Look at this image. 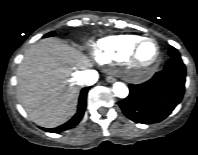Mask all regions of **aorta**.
I'll return each mask as SVG.
<instances>
[{
    "label": "aorta",
    "instance_id": "762f6f07",
    "mask_svg": "<svg viewBox=\"0 0 198 155\" xmlns=\"http://www.w3.org/2000/svg\"><path fill=\"white\" fill-rule=\"evenodd\" d=\"M113 92L119 98H126L129 94V89L124 83L116 82L113 84Z\"/></svg>",
    "mask_w": 198,
    "mask_h": 155
}]
</instances>
